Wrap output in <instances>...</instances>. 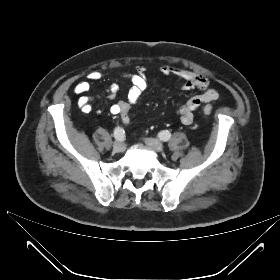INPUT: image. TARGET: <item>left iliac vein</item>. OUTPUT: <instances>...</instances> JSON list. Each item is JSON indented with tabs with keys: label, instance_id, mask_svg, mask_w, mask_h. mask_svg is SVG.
<instances>
[{
	"label": "left iliac vein",
	"instance_id": "4c4485c4",
	"mask_svg": "<svg viewBox=\"0 0 280 280\" xmlns=\"http://www.w3.org/2000/svg\"><path fill=\"white\" fill-rule=\"evenodd\" d=\"M145 143L147 146H149L151 149H153L156 152L163 151V144L161 141L154 139V138H146Z\"/></svg>",
	"mask_w": 280,
	"mask_h": 280
}]
</instances>
